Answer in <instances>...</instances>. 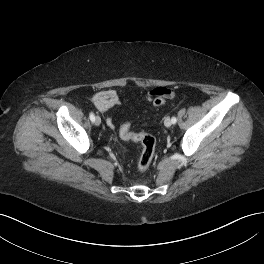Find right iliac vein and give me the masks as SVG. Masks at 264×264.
Wrapping results in <instances>:
<instances>
[{"instance_id":"1","label":"right iliac vein","mask_w":264,"mask_h":264,"mask_svg":"<svg viewBox=\"0 0 264 264\" xmlns=\"http://www.w3.org/2000/svg\"><path fill=\"white\" fill-rule=\"evenodd\" d=\"M94 123H95V125L99 126L101 124V118L99 116H96Z\"/></svg>"}]
</instances>
